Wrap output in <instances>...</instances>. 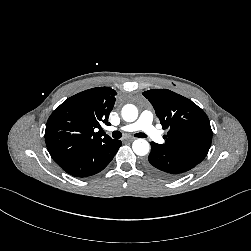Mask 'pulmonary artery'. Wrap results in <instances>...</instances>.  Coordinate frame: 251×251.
Listing matches in <instances>:
<instances>
[{
  "instance_id": "e3ab8cb5",
  "label": "pulmonary artery",
  "mask_w": 251,
  "mask_h": 251,
  "mask_svg": "<svg viewBox=\"0 0 251 251\" xmlns=\"http://www.w3.org/2000/svg\"><path fill=\"white\" fill-rule=\"evenodd\" d=\"M120 130L125 132L142 131L148 138L157 143L163 141L160 131L153 126V114L149 110L143 111L135 122L122 126Z\"/></svg>"
}]
</instances>
